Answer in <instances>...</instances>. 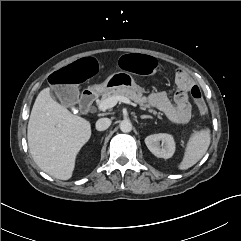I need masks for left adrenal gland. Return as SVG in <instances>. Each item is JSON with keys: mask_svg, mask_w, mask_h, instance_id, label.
<instances>
[{"mask_svg": "<svg viewBox=\"0 0 241 241\" xmlns=\"http://www.w3.org/2000/svg\"><path fill=\"white\" fill-rule=\"evenodd\" d=\"M141 119H152V117L151 116H149V115H142L141 117H140Z\"/></svg>", "mask_w": 241, "mask_h": 241, "instance_id": "a2214340", "label": "left adrenal gland"}]
</instances>
